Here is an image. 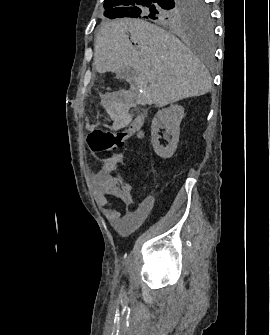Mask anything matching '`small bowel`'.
Instances as JSON below:
<instances>
[{
  "label": "small bowel",
  "instance_id": "1",
  "mask_svg": "<svg viewBox=\"0 0 270 335\" xmlns=\"http://www.w3.org/2000/svg\"><path fill=\"white\" fill-rule=\"evenodd\" d=\"M134 125L140 128L141 121L137 120ZM125 162V156L122 154L116 155L108 161L99 162V170L95 176V197L102 206L103 215L115 229L122 233L132 231L143 220L142 212L133 208L132 187L111 175L113 171L125 164ZM130 168L138 169L139 163L131 162ZM118 176L119 178H130L131 173L130 171H119ZM108 197L118 200L123 210L119 209Z\"/></svg>",
  "mask_w": 270,
  "mask_h": 335
}]
</instances>
